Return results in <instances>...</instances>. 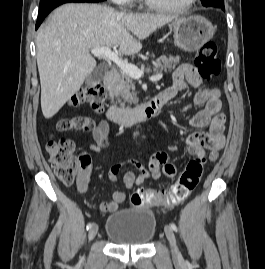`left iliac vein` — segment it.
<instances>
[{
  "mask_svg": "<svg viewBox=\"0 0 265 269\" xmlns=\"http://www.w3.org/2000/svg\"><path fill=\"white\" fill-rule=\"evenodd\" d=\"M164 230H165L166 237L170 243L171 253H172L173 258L176 260H180L181 253L177 247L176 238H175L173 229L169 226H165Z\"/></svg>",
  "mask_w": 265,
  "mask_h": 269,
  "instance_id": "obj_1",
  "label": "left iliac vein"
}]
</instances>
